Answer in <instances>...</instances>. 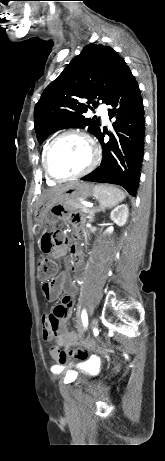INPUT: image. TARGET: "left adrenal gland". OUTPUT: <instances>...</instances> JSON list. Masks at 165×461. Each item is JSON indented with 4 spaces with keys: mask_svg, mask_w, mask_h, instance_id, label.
<instances>
[{
    "mask_svg": "<svg viewBox=\"0 0 165 461\" xmlns=\"http://www.w3.org/2000/svg\"><path fill=\"white\" fill-rule=\"evenodd\" d=\"M100 211H103V212H104V208H102L101 206H99V207H93V208L90 210V212H89V216H88L89 221H90V222H93V221H94L95 213L100 212Z\"/></svg>",
    "mask_w": 165,
    "mask_h": 461,
    "instance_id": "a2214340",
    "label": "left adrenal gland"
}]
</instances>
